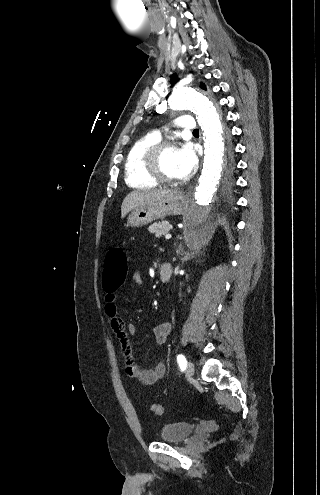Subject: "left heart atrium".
<instances>
[{"label": "left heart atrium", "instance_id": "1", "mask_svg": "<svg viewBox=\"0 0 320 495\" xmlns=\"http://www.w3.org/2000/svg\"><path fill=\"white\" fill-rule=\"evenodd\" d=\"M177 168L179 178L190 176L196 168L197 158L193 148L189 145H184L177 149L176 154Z\"/></svg>", "mask_w": 320, "mask_h": 495}]
</instances>
